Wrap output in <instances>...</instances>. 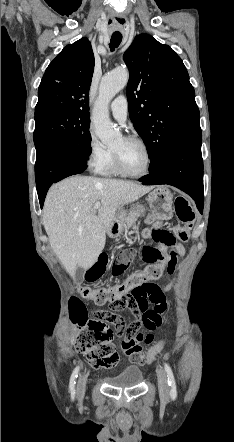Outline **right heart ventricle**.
I'll use <instances>...</instances> for the list:
<instances>
[{"mask_svg": "<svg viewBox=\"0 0 234 442\" xmlns=\"http://www.w3.org/2000/svg\"><path fill=\"white\" fill-rule=\"evenodd\" d=\"M109 152H110L109 157H108L105 165L101 169L100 173L103 175H107V176L117 175L118 172L116 171L115 166H114L113 153H112V151H109Z\"/></svg>", "mask_w": 234, "mask_h": 442, "instance_id": "obj_1", "label": "right heart ventricle"}]
</instances>
